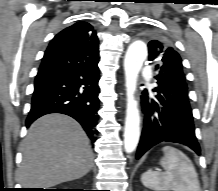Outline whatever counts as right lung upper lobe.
I'll use <instances>...</instances> for the list:
<instances>
[{
  "label": "right lung upper lobe",
  "mask_w": 218,
  "mask_h": 191,
  "mask_svg": "<svg viewBox=\"0 0 218 191\" xmlns=\"http://www.w3.org/2000/svg\"><path fill=\"white\" fill-rule=\"evenodd\" d=\"M53 40L64 41L81 47L98 46V38L93 27L86 22H77L58 33Z\"/></svg>",
  "instance_id": "right-lung-upper-lobe-1"
}]
</instances>
